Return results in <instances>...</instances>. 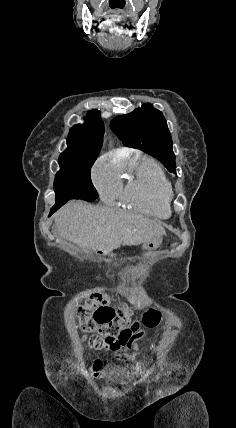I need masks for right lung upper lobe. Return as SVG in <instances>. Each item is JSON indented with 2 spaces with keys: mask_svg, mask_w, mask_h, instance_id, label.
<instances>
[{
  "mask_svg": "<svg viewBox=\"0 0 236 428\" xmlns=\"http://www.w3.org/2000/svg\"><path fill=\"white\" fill-rule=\"evenodd\" d=\"M104 134L100 111L88 112L83 124L74 125L68 134V148L61 153L59 164L94 163L99 155Z\"/></svg>",
  "mask_w": 236,
  "mask_h": 428,
  "instance_id": "cb5924a9",
  "label": "right lung upper lobe"
}]
</instances>
